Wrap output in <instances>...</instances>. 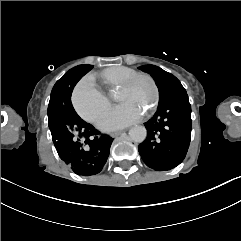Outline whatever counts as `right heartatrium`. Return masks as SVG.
Returning a JSON list of instances; mask_svg holds the SVG:
<instances>
[{
  "instance_id": "obj_1",
  "label": "right heart atrium",
  "mask_w": 241,
  "mask_h": 241,
  "mask_svg": "<svg viewBox=\"0 0 241 241\" xmlns=\"http://www.w3.org/2000/svg\"><path fill=\"white\" fill-rule=\"evenodd\" d=\"M98 79L93 74H88L83 79V84L76 87L72 94V105L77 114L86 122L93 123L106 110L109 102L96 86Z\"/></svg>"
}]
</instances>
